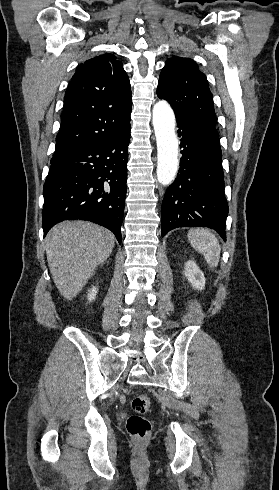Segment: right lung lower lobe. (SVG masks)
I'll return each mask as SVG.
<instances>
[{
    "instance_id": "obj_1",
    "label": "right lung lower lobe",
    "mask_w": 279,
    "mask_h": 490,
    "mask_svg": "<svg viewBox=\"0 0 279 490\" xmlns=\"http://www.w3.org/2000/svg\"><path fill=\"white\" fill-rule=\"evenodd\" d=\"M130 130L51 162L43 186L44 236L59 222L80 219L111 230L121 244Z\"/></svg>"
}]
</instances>
